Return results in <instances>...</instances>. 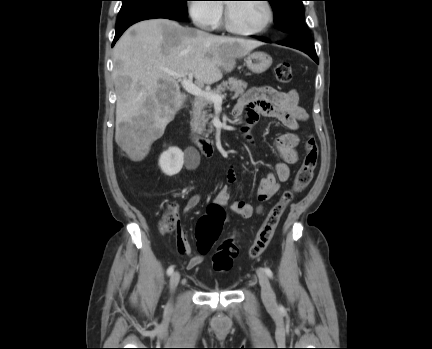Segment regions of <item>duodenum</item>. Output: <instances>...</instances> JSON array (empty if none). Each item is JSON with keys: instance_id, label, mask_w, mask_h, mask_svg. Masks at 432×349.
Instances as JSON below:
<instances>
[{"instance_id": "duodenum-1", "label": "duodenum", "mask_w": 432, "mask_h": 349, "mask_svg": "<svg viewBox=\"0 0 432 349\" xmlns=\"http://www.w3.org/2000/svg\"><path fill=\"white\" fill-rule=\"evenodd\" d=\"M192 137L196 139L199 148L204 156H212L215 152V143L212 140H209L203 136H199L198 134L192 132Z\"/></svg>"}]
</instances>
